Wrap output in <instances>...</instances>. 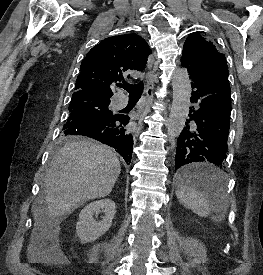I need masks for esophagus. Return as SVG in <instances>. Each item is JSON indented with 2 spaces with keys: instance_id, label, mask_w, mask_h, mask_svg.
Listing matches in <instances>:
<instances>
[{
  "instance_id": "esophagus-1",
  "label": "esophagus",
  "mask_w": 263,
  "mask_h": 275,
  "mask_svg": "<svg viewBox=\"0 0 263 275\" xmlns=\"http://www.w3.org/2000/svg\"><path fill=\"white\" fill-rule=\"evenodd\" d=\"M153 65H154V59L153 57H150L148 59V76H147V89H146V97L148 102L150 103L152 101L153 98V90L155 87V83L157 82V77L156 75H154L152 73V69H153ZM139 126H142L141 121L139 122Z\"/></svg>"
}]
</instances>
